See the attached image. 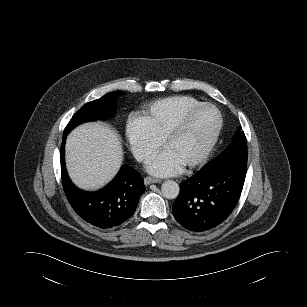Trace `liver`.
<instances>
[{
    "mask_svg": "<svg viewBox=\"0 0 307 307\" xmlns=\"http://www.w3.org/2000/svg\"><path fill=\"white\" fill-rule=\"evenodd\" d=\"M66 166L73 183L96 190L113 179L123 161L119 136L108 125L89 122L75 128L66 140Z\"/></svg>",
    "mask_w": 307,
    "mask_h": 307,
    "instance_id": "1",
    "label": "liver"
}]
</instances>
